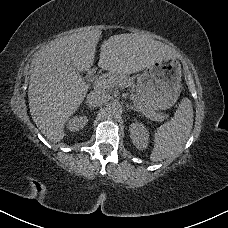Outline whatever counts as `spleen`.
Segmentation results:
<instances>
[{
  "mask_svg": "<svg viewBox=\"0 0 228 228\" xmlns=\"http://www.w3.org/2000/svg\"><path fill=\"white\" fill-rule=\"evenodd\" d=\"M194 111L189 98L183 97L174 117L159 126L152 134L153 149L150 161L174 160L191 134Z\"/></svg>",
  "mask_w": 228,
  "mask_h": 228,
  "instance_id": "3e777b00",
  "label": "spleen"
}]
</instances>
